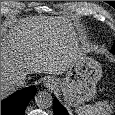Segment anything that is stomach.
<instances>
[{"label":"stomach","instance_id":"1","mask_svg":"<svg viewBox=\"0 0 115 115\" xmlns=\"http://www.w3.org/2000/svg\"><path fill=\"white\" fill-rule=\"evenodd\" d=\"M102 77V67L98 61L85 53L71 64L66 76L60 81L65 102L69 106H80L92 100L97 93V83Z\"/></svg>","mask_w":115,"mask_h":115}]
</instances>
